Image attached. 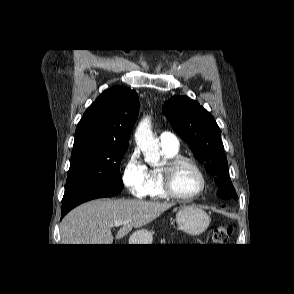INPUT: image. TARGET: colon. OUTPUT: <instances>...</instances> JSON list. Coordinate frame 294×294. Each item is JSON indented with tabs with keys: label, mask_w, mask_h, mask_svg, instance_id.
I'll use <instances>...</instances> for the list:
<instances>
[{
	"label": "colon",
	"mask_w": 294,
	"mask_h": 294,
	"mask_svg": "<svg viewBox=\"0 0 294 294\" xmlns=\"http://www.w3.org/2000/svg\"><path fill=\"white\" fill-rule=\"evenodd\" d=\"M231 233L232 228L229 225H217L216 227H214L212 232V242L218 246L224 245L228 241Z\"/></svg>",
	"instance_id": "5ec220e1"
}]
</instances>
